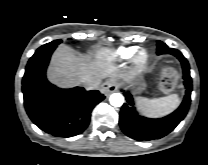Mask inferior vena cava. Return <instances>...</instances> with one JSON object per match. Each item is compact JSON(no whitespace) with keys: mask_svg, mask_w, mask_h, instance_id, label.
<instances>
[{"mask_svg":"<svg viewBox=\"0 0 208 165\" xmlns=\"http://www.w3.org/2000/svg\"><path fill=\"white\" fill-rule=\"evenodd\" d=\"M100 85V79L99 78H93L87 82L84 83V86L87 90L97 89Z\"/></svg>","mask_w":208,"mask_h":165,"instance_id":"inferior-vena-cava-1","label":"inferior vena cava"}]
</instances>
